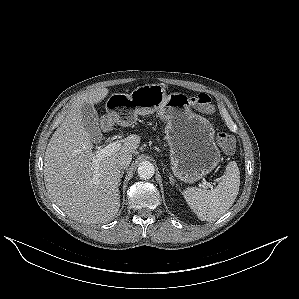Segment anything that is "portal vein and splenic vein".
<instances>
[{"mask_svg": "<svg viewBox=\"0 0 299 299\" xmlns=\"http://www.w3.org/2000/svg\"><path fill=\"white\" fill-rule=\"evenodd\" d=\"M121 143L120 142H112L110 144H108L107 146H105L102 149H99L95 152V159L93 160L95 169L99 168V162L102 158L107 157V156H111L113 153L117 152L120 148H121ZM202 187H209V188H213V185L207 181H203Z\"/></svg>", "mask_w": 299, "mask_h": 299, "instance_id": "18ae733b", "label": "portal vein and splenic vein"}]
</instances>
